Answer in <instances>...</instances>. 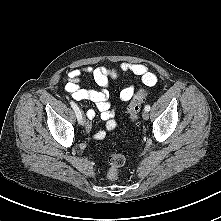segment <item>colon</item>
I'll use <instances>...</instances> for the list:
<instances>
[{
	"label": "colon",
	"mask_w": 221,
	"mask_h": 221,
	"mask_svg": "<svg viewBox=\"0 0 221 221\" xmlns=\"http://www.w3.org/2000/svg\"><path fill=\"white\" fill-rule=\"evenodd\" d=\"M148 96V92L145 89H141L131 100L128 105L127 113L131 120L138 119L139 112L143 103ZM109 169L107 176L110 180H116L120 173V168L125 164V157L122 154H111L108 157Z\"/></svg>",
	"instance_id": "colon-1"
}]
</instances>
